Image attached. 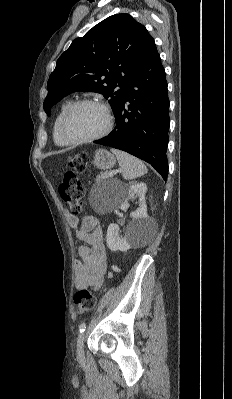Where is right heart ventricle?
Here are the masks:
<instances>
[{
    "instance_id": "right-heart-ventricle-1",
    "label": "right heart ventricle",
    "mask_w": 232,
    "mask_h": 399,
    "mask_svg": "<svg viewBox=\"0 0 232 399\" xmlns=\"http://www.w3.org/2000/svg\"><path fill=\"white\" fill-rule=\"evenodd\" d=\"M72 104V102H65L63 103L57 110V113L55 115L54 121H53V127H52V135H53V140L54 143L63 149H70L74 147L75 145L69 142L64 135L62 134L61 131V120L63 117L64 112L66 109Z\"/></svg>"
}]
</instances>
